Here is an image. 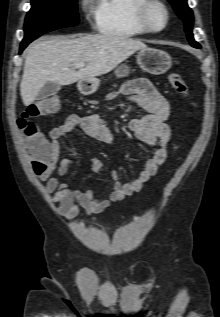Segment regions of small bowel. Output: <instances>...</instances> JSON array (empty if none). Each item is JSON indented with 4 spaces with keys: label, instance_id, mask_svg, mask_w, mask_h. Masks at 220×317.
Listing matches in <instances>:
<instances>
[{
    "label": "small bowel",
    "instance_id": "1",
    "mask_svg": "<svg viewBox=\"0 0 220 317\" xmlns=\"http://www.w3.org/2000/svg\"><path fill=\"white\" fill-rule=\"evenodd\" d=\"M127 99L136 103L146 111V114L131 120L130 128L135 137L154 148L144 167L136 179L129 183H122L117 172H111L114 189L105 199H99L93 190H73L59 178L64 176L74 165L71 158H61L60 140L78 129L86 136L105 144H115V134L96 115H70L66 121L53 128L50 133L52 157L44 169L34 167L38 179L46 185V190L52 195V201L59 204L58 211L66 219H72L83 208L88 215L100 213L112 203L121 201L133 193L141 191L147 182L157 174L168 154V144L172 131L165 123L170 113L167 99L145 78H138L127 82L120 90ZM112 93L109 97H114ZM104 162L96 157L91 158V169L99 172ZM55 174V175H54Z\"/></svg>",
    "mask_w": 220,
    "mask_h": 317
}]
</instances>
